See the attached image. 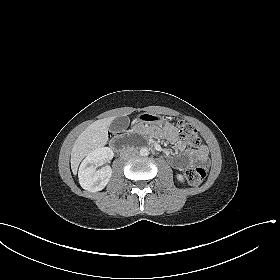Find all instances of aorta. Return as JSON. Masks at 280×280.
I'll list each match as a JSON object with an SVG mask.
<instances>
[{
  "label": "aorta",
  "mask_w": 280,
  "mask_h": 280,
  "mask_svg": "<svg viewBox=\"0 0 280 280\" xmlns=\"http://www.w3.org/2000/svg\"><path fill=\"white\" fill-rule=\"evenodd\" d=\"M149 150L147 148H141L140 149V155L141 156H148Z\"/></svg>",
  "instance_id": "aorta-1"
}]
</instances>
